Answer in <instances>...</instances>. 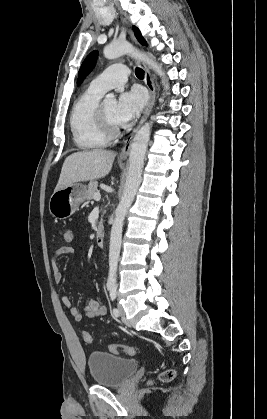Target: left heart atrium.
Wrapping results in <instances>:
<instances>
[{"mask_svg":"<svg viewBox=\"0 0 267 419\" xmlns=\"http://www.w3.org/2000/svg\"><path fill=\"white\" fill-rule=\"evenodd\" d=\"M145 95L138 89L133 88L120 94L116 106V122L119 126H125L135 120L143 109Z\"/></svg>","mask_w":267,"mask_h":419,"instance_id":"left-heart-atrium-1","label":"left heart atrium"}]
</instances>
